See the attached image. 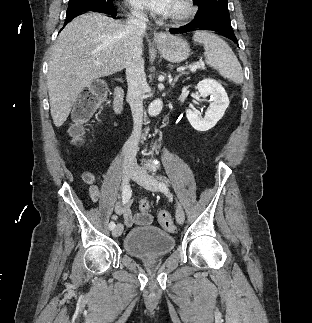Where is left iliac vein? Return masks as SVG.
Masks as SVG:
<instances>
[{
  "label": "left iliac vein",
  "instance_id": "1",
  "mask_svg": "<svg viewBox=\"0 0 312 323\" xmlns=\"http://www.w3.org/2000/svg\"><path fill=\"white\" fill-rule=\"evenodd\" d=\"M133 179L138 182L144 188L157 191L160 189V182L157 178L149 175L146 171L140 168L138 165L133 166ZM184 211L180 203L176 204V220L179 224L184 222Z\"/></svg>",
  "mask_w": 312,
  "mask_h": 323
}]
</instances>
